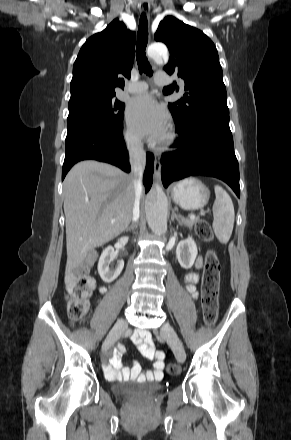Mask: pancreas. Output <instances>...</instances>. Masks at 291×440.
Segmentation results:
<instances>
[{"label":"pancreas","instance_id":"pancreas-1","mask_svg":"<svg viewBox=\"0 0 291 440\" xmlns=\"http://www.w3.org/2000/svg\"><path fill=\"white\" fill-rule=\"evenodd\" d=\"M199 221H200L199 219H185V218H181V223L183 225H185L186 227H188V228H192Z\"/></svg>","mask_w":291,"mask_h":440}]
</instances>
